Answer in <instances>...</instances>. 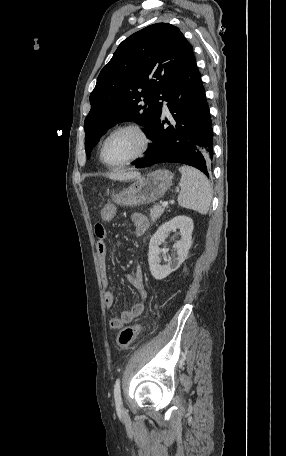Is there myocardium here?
I'll list each match as a JSON object with an SVG mask.
<instances>
[{
	"instance_id": "myocardium-1",
	"label": "myocardium",
	"mask_w": 286,
	"mask_h": 456,
	"mask_svg": "<svg viewBox=\"0 0 286 456\" xmlns=\"http://www.w3.org/2000/svg\"><path fill=\"white\" fill-rule=\"evenodd\" d=\"M124 130H133L135 132L138 133V135L141 137V140H142V146L139 150V152L131 157L130 159L122 162V163H119V164H112V163H109L106 158H105V149H106V145L109 141V139L114 136L116 133L118 132H121V131H124ZM150 145H151V138H150V135L149 133L147 132V130L140 124L138 123H126V124H123V125H120L118 126L117 128H115L114 130H112L107 136L106 138L104 139L103 143H102V146H101V151H100V159L101 161L109 168H114V169H117V168H122V167H125L127 165H130L132 164L133 162L139 160L140 158L144 157V155L147 153V151L149 150L150 148Z\"/></svg>"
}]
</instances>
